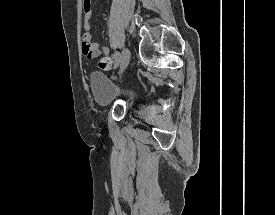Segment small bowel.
I'll return each instance as SVG.
<instances>
[{
  "label": "small bowel",
  "instance_id": "1",
  "mask_svg": "<svg viewBox=\"0 0 275 215\" xmlns=\"http://www.w3.org/2000/svg\"><path fill=\"white\" fill-rule=\"evenodd\" d=\"M93 13V6L90 0H84L83 2V14H84V29L85 32L82 36V52L88 59H93L99 55L107 56L109 54V48L101 47L98 43L92 41V35L90 32V19Z\"/></svg>",
  "mask_w": 275,
  "mask_h": 215
}]
</instances>
